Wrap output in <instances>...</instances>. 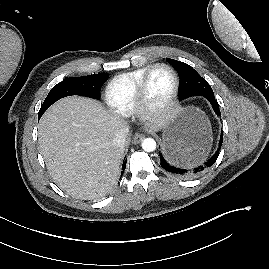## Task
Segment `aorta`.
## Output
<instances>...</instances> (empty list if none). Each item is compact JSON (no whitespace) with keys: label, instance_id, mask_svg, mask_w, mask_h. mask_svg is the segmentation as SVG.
<instances>
[{"label":"aorta","instance_id":"762f6f07","mask_svg":"<svg viewBox=\"0 0 269 269\" xmlns=\"http://www.w3.org/2000/svg\"><path fill=\"white\" fill-rule=\"evenodd\" d=\"M142 149L146 152H153L156 149V142L153 138H146L142 141Z\"/></svg>","mask_w":269,"mask_h":269}]
</instances>
